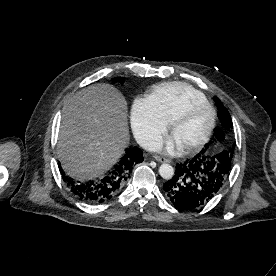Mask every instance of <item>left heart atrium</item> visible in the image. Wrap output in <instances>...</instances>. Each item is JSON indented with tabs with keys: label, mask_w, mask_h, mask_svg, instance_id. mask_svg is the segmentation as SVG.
Here are the masks:
<instances>
[{
	"label": "left heart atrium",
	"mask_w": 276,
	"mask_h": 276,
	"mask_svg": "<svg viewBox=\"0 0 276 276\" xmlns=\"http://www.w3.org/2000/svg\"><path fill=\"white\" fill-rule=\"evenodd\" d=\"M184 146L179 139L172 135L164 143V150L171 155L178 154L183 150Z\"/></svg>",
	"instance_id": "1"
}]
</instances>
